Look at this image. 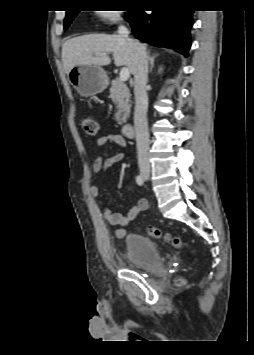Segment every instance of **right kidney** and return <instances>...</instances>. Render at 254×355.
I'll use <instances>...</instances> for the list:
<instances>
[{
    "label": "right kidney",
    "instance_id": "obj_1",
    "mask_svg": "<svg viewBox=\"0 0 254 355\" xmlns=\"http://www.w3.org/2000/svg\"><path fill=\"white\" fill-rule=\"evenodd\" d=\"M162 71V68H159V72H161Z\"/></svg>",
    "mask_w": 254,
    "mask_h": 355
}]
</instances>
